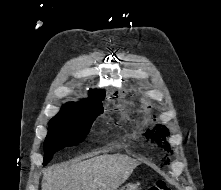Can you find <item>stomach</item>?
Listing matches in <instances>:
<instances>
[{"label":"stomach","instance_id":"1","mask_svg":"<svg viewBox=\"0 0 221 190\" xmlns=\"http://www.w3.org/2000/svg\"><path fill=\"white\" fill-rule=\"evenodd\" d=\"M139 184L128 183L119 190H138Z\"/></svg>","mask_w":221,"mask_h":190}]
</instances>
